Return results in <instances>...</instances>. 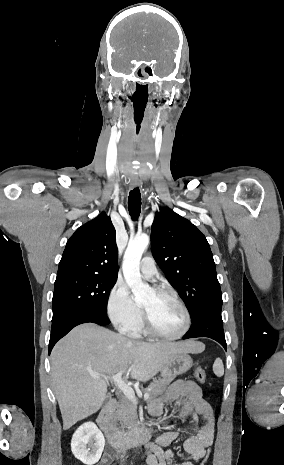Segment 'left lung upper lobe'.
Wrapping results in <instances>:
<instances>
[{
	"mask_svg": "<svg viewBox=\"0 0 284 465\" xmlns=\"http://www.w3.org/2000/svg\"><path fill=\"white\" fill-rule=\"evenodd\" d=\"M153 256L187 304L191 320L222 309V293L206 237L189 220L160 208L151 226Z\"/></svg>",
	"mask_w": 284,
	"mask_h": 465,
	"instance_id": "1",
	"label": "left lung upper lobe"
}]
</instances>
